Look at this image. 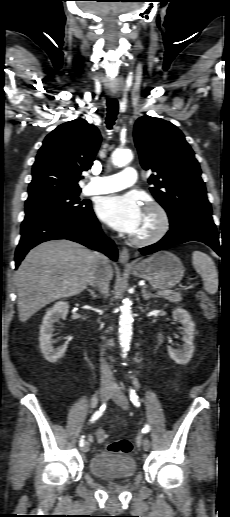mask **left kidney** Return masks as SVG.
<instances>
[{
    "mask_svg": "<svg viewBox=\"0 0 230 517\" xmlns=\"http://www.w3.org/2000/svg\"><path fill=\"white\" fill-rule=\"evenodd\" d=\"M172 316L183 325L181 334L183 335L184 345L181 350L168 347V353L177 364L184 365L187 364L193 356L195 324L192 321L190 314L185 309L176 308L172 312Z\"/></svg>",
    "mask_w": 230,
    "mask_h": 517,
    "instance_id": "1",
    "label": "left kidney"
}]
</instances>
